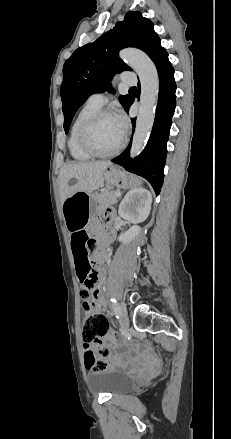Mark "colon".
Instances as JSON below:
<instances>
[{
  "label": "colon",
  "mask_w": 231,
  "mask_h": 439,
  "mask_svg": "<svg viewBox=\"0 0 231 439\" xmlns=\"http://www.w3.org/2000/svg\"><path fill=\"white\" fill-rule=\"evenodd\" d=\"M77 230V226L72 227ZM80 237H77L79 240ZM81 281L80 295L84 299L83 310L86 315L83 322L82 336L86 343L98 341L100 337L106 336L109 332L108 322L104 315L91 312V305L94 299L93 288L96 283V274L93 273L90 263L79 265L77 271ZM100 353L105 354L106 350L100 345ZM85 367L92 371H101L107 369L109 362L105 359H97L93 352L84 353Z\"/></svg>",
  "instance_id": "1"
}]
</instances>
